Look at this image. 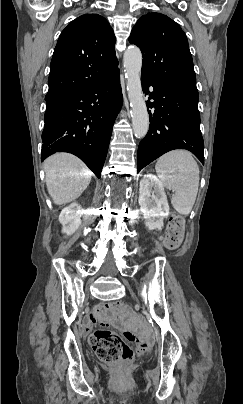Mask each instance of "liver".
<instances>
[{
  "label": "liver",
  "instance_id": "obj_1",
  "mask_svg": "<svg viewBox=\"0 0 243 404\" xmlns=\"http://www.w3.org/2000/svg\"><path fill=\"white\" fill-rule=\"evenodd\" d=\"M44 170L48 192L58 206L77 200L91 182L92 172L72 154L50 156Z\"/></svg>",
  "mask_w": 243,
  "mask_h": 404
}]
</instances>
